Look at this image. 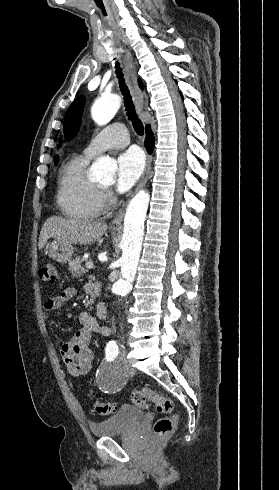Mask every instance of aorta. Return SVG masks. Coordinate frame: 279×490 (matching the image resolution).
Here are the masks:
<instances>
[{
  "label": "aorta",
  "mask_w": 279,
  "mask_h": 490,
  "mask_svg": "<svg viewBox=\"0 0 279 490\" xmlns=\"http://www.w3.org/2000/svg\"><path fill=\"white\" fill-rule=\"evenodd\" d=\"M121 105L118 95L106 96L95 101L91 108L93 120L98 125L107 124L117 113ZM116 163L109 157H100L91 167V173L100 181H112ZM150 201L149 193L140 191L130 201L124 218L122 237V257L120 258L121 278L112 286L116 295H126L132 290L136 270L142 249L144 222Z\"/></svg>",
  "instance_id": "aorta-1"
}]
</instances>
